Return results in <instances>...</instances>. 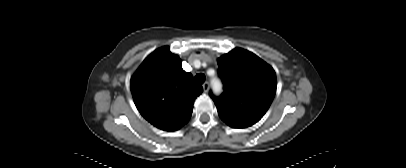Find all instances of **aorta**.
<instances>
[{"label": "aorta", "instance_id": "762f6f07", "mask_svg": "<svg viewBox=\"0 0 406 168\" xmlns=\"http://www.w3.org/2000/svg\"><path fill=\"white\" fill-rule=\"evenodd\" d=\"M212 88L215 93H220L222 89L221 82L217 79L212 80Z\"/></svg>", "mask_w": 406, "mask_h": 168}]
</instances>
